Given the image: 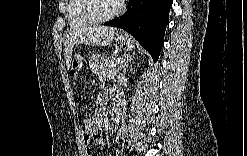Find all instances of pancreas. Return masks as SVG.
I'll list each match as a JSON object with an SVG mask.
<instances>
[{
	"label": "pancreas",
	"instance_id": "obj_1",
	"mask_svg": "<svg viewBox=\"0 0 247 156\" xmlns=\"http://www.w3.org/2000/svg\"><path fill=\"white\" fill-rule=\"evenodd\" d=\"M115 60L116 58L114 57V55L106 57L102 60L98 68L92 70L96 73L100 81H106L110 79L111 76L115 75V73L117 72V63H115Z\"/></svg>",
	"mask_w": 247,
	"mask_h": 156
}]
</instances>
